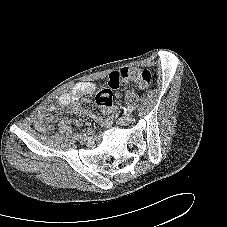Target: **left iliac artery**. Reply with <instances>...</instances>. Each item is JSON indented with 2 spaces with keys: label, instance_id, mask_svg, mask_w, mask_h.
I'll list each match as a JSON object with an SVG mask.
<instances>
[{
  "label": "left iliac artery",
  "instance_id": "44dca946",
  "mask_svg": "<svg viewBox=\"0 0 227 227\" xmlns=\"http://www.w3.org/2000/svg\"><path fill=\"white\" fill-rule=\"evenodd\" d=\"M124 110L126 111V113H132L133 112V107L128 105L126 108H124Z\"/></svg>",
  "mask_w": 227,
  "mask_h": 227
}]
</instances>
